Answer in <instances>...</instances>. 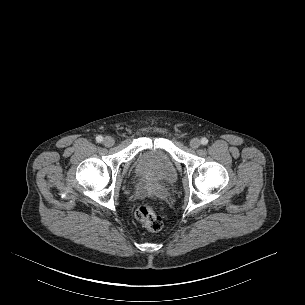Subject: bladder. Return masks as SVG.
Listing matches in <instances>:
<instances>
[{"label":"bladder","instance_id":"31cf9c89","mask_svg":"<svg viewBox=\"0 0 305 305\" xmlns=\"http://www.w3.org/2000/svg\"><path fill=\"white\" fill-rule=\"evenodd\" d=\"M139 178L156 182L172 183L177 178V169L171 157L159 150H146L136 161Z\"/></svg>","mask_w":305,"mask_h":305}]
</instances>
